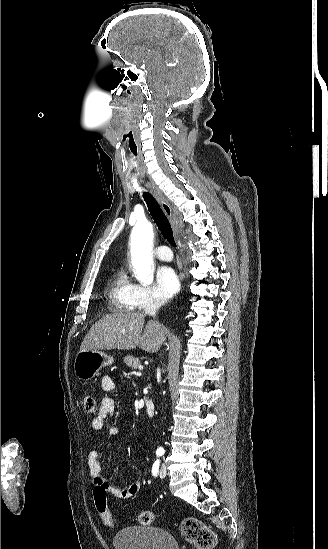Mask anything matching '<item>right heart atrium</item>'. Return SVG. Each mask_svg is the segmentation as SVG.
Segmentation results:
<instances>
[{"instance_id": "d8ad5b80", "label": "right heart atrium", "mask_w": 328, "mask_h": 549, "mask_svg": "<svg viewBox=\"0 0 328 549\" xmlns=\"http://www.w3.org/2000/svg\"><path fill=\"white\" fill-rule=\"evenodd\" d=\"M143 303H164V299L153 285L138 286Z\"/></svg>"}]
</instances>
